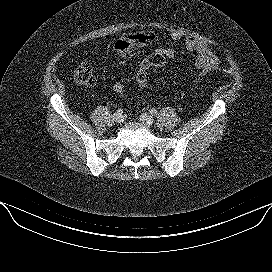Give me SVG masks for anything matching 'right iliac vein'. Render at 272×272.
I'll return each mask as SVG.
<instances>
[{
    "label": "right iliac vein",
    "instance_id": "1",
    "mask_svg": "<svg viewBox=\"0 0 272 272\" xmlns=\"http://www.w3.org/2000/svg\"><path fill=\"white\" fill-rule=\"evenodd\" d=\"M113 120L116 123H122L123 122V116L121 114H114Z\"/></svg>",
    "mask_w": 272,
    "mask_h": 272
}]
</instances>
